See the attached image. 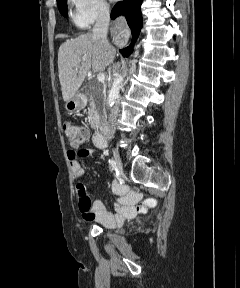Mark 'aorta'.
I'll return each instance as SVG.
<instances>
[{
    "label": "aorta",
    "mask_w": 240,
    "mask_h": 288,
    "mask_svg": "<svg viewBox=\"0 0 240 288\" xmlns=\"http://www.w3.org/2000/svg\"><path fill=\"white\" fill-rule=\"evenodd\" d=\"M124 76L118 74L113 81L112 87L108 94L107 105L112 106L119 96V91L123 83Z\"/></svg>",
    "instance_id": "762f6f07"
}]
</instances>
